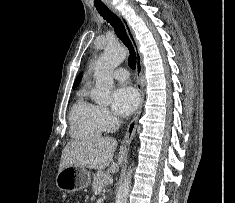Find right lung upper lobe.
Returning <instances> with one entry per match:
<instances>
[{"instance_id": "cb5924a9", "label": "right lung upper lobe", "mask_w": 235, "mask_h": 203, "mask_svg": "<svg viewBox=\"0 0 235 203\" xmlns=\"http://www.w3.org/2000/svg\"><path fill=\"white\" fill-rule=\"evenodd\" d=\"M81 78H82V73L76 78L73 87H75V86H77L79 84V82L81 81Z\"/></svg>"}]
</instances>
